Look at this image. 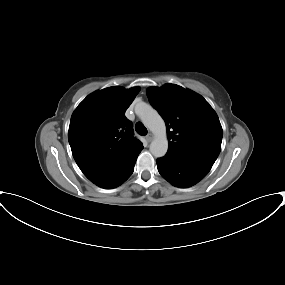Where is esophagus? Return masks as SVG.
I'll return each instance as SVG.
<instances>
[{
    "instance_id": "esophagus-1",
    "label": "esophagus",
    "mask_w": 285,
    "mask_h": 285,
    "mask_svg": "<svg viewBox=\"0 0 285 285\" xmlns=\"http://www.w3.org/2000/svg\"><path fill=\"white\" fill-rule=\"evenodd\" d=\"M146 140H147L148 142H151V141L153 140V134H151V133L147 134V135H146Z\"/></svg>"
}]
</instances>
